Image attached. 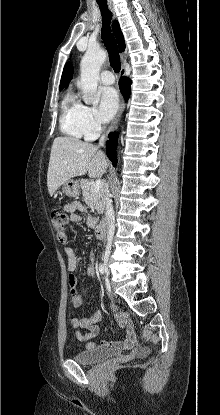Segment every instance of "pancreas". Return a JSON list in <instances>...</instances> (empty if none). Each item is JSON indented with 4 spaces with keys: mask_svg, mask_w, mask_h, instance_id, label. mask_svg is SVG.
<instances>
[{
    "mask_svg": "<svg viewBox=\"0 0 220 415\" xmlns=\"http://www.w3.org/2000/svg\"><path fill=\"white\" fill-rule=\"evenodd\" d=\"M94 182L87 179L81 180V188L84 200L87 204L94 206L98 213H103L108 201L106 187H102L98 193L93 191Z\"/></svg>",
    "mask_w": 220,
    "mask_h": 415,
    "instance_id": "cf45deb5",
    "label": "pancreas"
}]
</instances>
